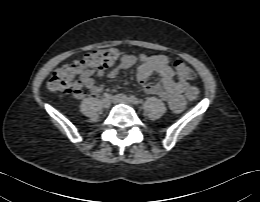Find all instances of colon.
Instances as JSON below:
<instances>
[{
    "label": "colon",
    "mask_w": 260,
    "mask_h": 202,
    "mask_svg": "<svg viewBox=\"0 0 260 202\" xmlns=\"http://www.w3.org/2000/svg\"><path fill=\"white\" fill-rule=\"evenodd\" d=\"M118 52L114 48H103L94 50L81 59L54 71L48 81V88L54 92L71 93L83 85L86 76L94 73H101L114 64ZM177 76L183 80H190L195 77L194 71L184 62L176 61L174 64ZM190 101H196L199 90L192 86L186 92Z\"/></svg>",
    "instance_id": "colon-1"
}]
</instances>
